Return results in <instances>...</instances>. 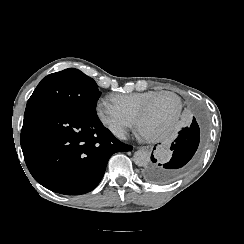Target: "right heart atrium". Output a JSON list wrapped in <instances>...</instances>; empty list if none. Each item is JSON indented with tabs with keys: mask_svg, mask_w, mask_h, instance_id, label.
<instances>
[{
	"mask_svg": "<svg viewBox=\"0 0 244 244\" xmlns=\"http://www.w3.org/2000/svg\"><path fill=\"white\" fill-rule=\"evenodd\" d=\"M96 112L101 122L118 137L124 136L129 129H139L138 115L131 107L116 105L104 99L98 102Z\"/></svg>",
	"mask_w": 244,
	"mask_h": 244,
	"instance_id": "d8ad5b80",
	"label": "right heart atrium"
}]
</instances>
